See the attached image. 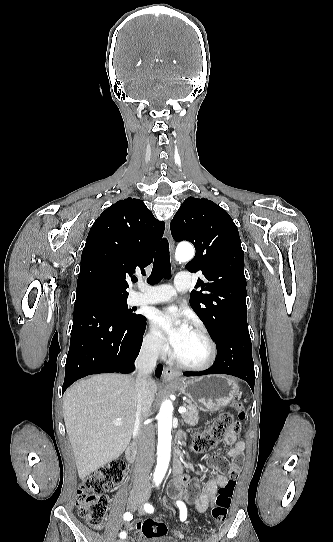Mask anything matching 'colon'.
Wrapping results in <instances>:
<instances>
[{
    "label": "colon",
    "mask_w": 333,
    "mask_h": 542,
    "mask_svg": "<svg viewBox=\"0 0 333 542\" xmlns=\"http://www.w3.org/2000/svg\"><path fill=\"white\" fill-rule=\"evenodd\" d=\"M236 411L237 417L230 412H223L208 429L196 433L192 441L193 451L203 453L213 448L228 436L224 433H235L236 427L238 428L236 435H238L241 431V422L245 420L246 415L240 404H237ZM219 460L220 468L228 474L229 481L219 489L211 515L216 522L222 523L226 520L231 505L236 483L243 467V457L237 455L231 460L224 458H219ZM120 469L119 462H111L102 467L99 472L88 475L84 479V486L77 491L76 507L79 515L94 528L102 526L108 504L104 492L118 485ZM139 528L147 539L162 538L167 532L166 525L158 519H146Z\"/></svg>",
    "instance_id": "5ec220e1"
}]
</instances>
